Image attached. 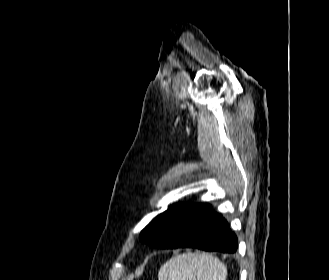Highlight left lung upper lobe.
<instances>
[{
	"instance_id": "1",
	"label": "left lung upper lobe",
	"mask_w": 329,
	"mask_h": 280,
	"mask_svg": "<svg viewBox=\"0 0 329 280\" xmlns=\"http://www.w3.org/2000/svg\"><path fill=\"white\" fill-rule=\"evenodd\" d=\"M175 205V204H174ZM171 208V207H170ZM170 208L154 218L140 233V241L153 247L163 248L169 243V237L162 234L161 225L165 222Z\"/></svg>"
}]
</instances>
